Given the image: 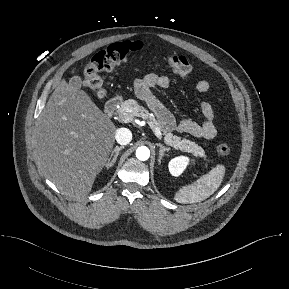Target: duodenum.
I'll return each mask as SVG.
<instances>
[{
    "label": "duodenum",
    "instance_id": "410a0bca",
    "mask_svg": "<svg viewBox=\"0 0 289 289\" xmlns=\"http://www.w3.org/2000/svg\"><path fill=\"white\" fill-rule=\"evenodd\" d=\"M120 103H121V100L118 97H113L109 99L105 104V114L108 117L113 116L115 112L117 111Z\"/></svg>",
    "mask_w": 289,
    "mask_h": 289
}]
</instances>
